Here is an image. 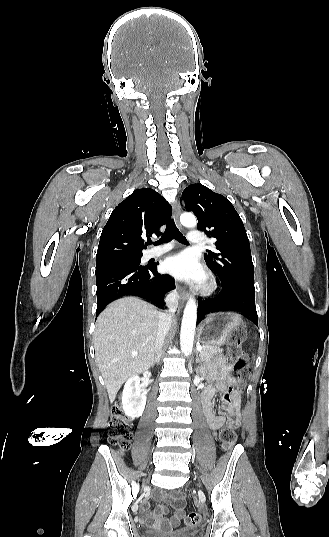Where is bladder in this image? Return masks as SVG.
<instances>
[{
    "mask_svg": "<svg viewBox=\"0 0 329 537\" xmlns=\"http://www.w3.org/2000/svg\"><path fill=\"white\" fill-rule=\"evenodd\" d=\"M145 537H195L197 531L195 530H183L174 534H166L160 531L146 530Z\"/></svg>",
    "mask_w": 329,
    "mask_h": 537,
    "instance_id": "obj_1",
    "label": "bladder"
}]
</instances>
